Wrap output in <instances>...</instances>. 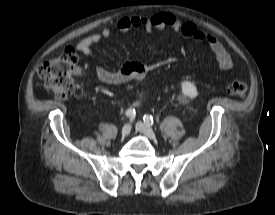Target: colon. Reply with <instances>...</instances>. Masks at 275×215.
Returning <instances> with one entry per match:
<instances>
[{
  "label": "colon",
  "instance_id": "1",
  "mask_svg": "<svg viewBox=\"0 0 275 215\" xmlns=\"http://www.w3.org/2000/svg\"><path fill=\"white\" fill-rule=\"evenodd\" d=\"M79 71V55L70 47L60 56L45 61L40 66L38 74L48 91L58 99H66L76 90L75 76ZM226 91L230 95L245 96L248 86L242 81H233L227 84Z\"/></svg>",
  "mask_w": 275,
  "mask_h": 215
}]
</instances>
